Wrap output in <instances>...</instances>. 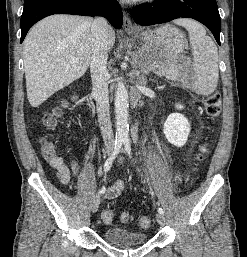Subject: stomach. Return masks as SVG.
Instances as JSON below:
<instances>
[{
  "label": "stomach",
  "mask_w": 247,
  "mask_h": 257,
  "mask_svg": "<svg viewBox=\"0 0 247 257\" xmlns=\"http://www.w3.org/2000/svg\"><path fill=\"white\" fill-rule=\"evenodd\" d=\"M130 35L138 44L132 58L140 69L148 70L169 65L174 67L175 71L168 78L180 81L188 88L194 86L193 70L180 64L185 36L178 28L167 24Z\"/></svg>",
  "instance_id": "stomach-1"
}]
</instances>
